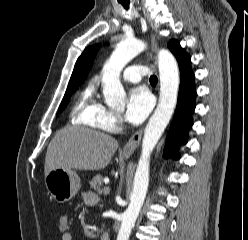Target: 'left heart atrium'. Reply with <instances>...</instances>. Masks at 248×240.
<instances>
[{"label":"left heart atrium","mask_w":248,"mask_h":240,"mask_svg":"<svg viewBox=\"0 0 248 240\" xmlns=\"http://www.w3.org/2000/svg\"><path fill=\"white\" fill-rule=\"evenodd\" d=\"M153 107V98L147 88L138 86L130 90L126 106V119L133 125L140 124Z\"/></svg>","instance_id":"1"}]
</instances>
